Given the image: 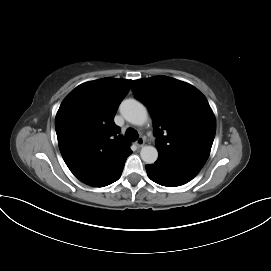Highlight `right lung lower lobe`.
I'll use <instances>...</instances> for the list:
<instances>
[{"mask_svg":"<svg viewBox=\"0 0 271 271\" xmlns=\"http://www.w3.org/2000/svg\"><path fill=\"white\" fill-rule=\"evenodd\" d=\"M124 164H125V162H123L107 179H105L104 181H102L98 184L92 185V186L104 187V186H107V185L112 184L113 182L117 181L122 174Z\"/></svg>","mask_w":271,"mask_h":271,"instance_id":"obj_1","label":"right lung lower lobe"}]
</instances>
